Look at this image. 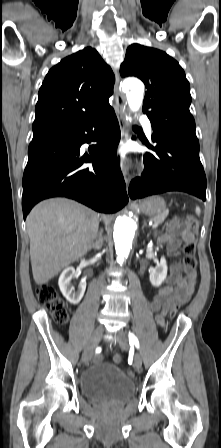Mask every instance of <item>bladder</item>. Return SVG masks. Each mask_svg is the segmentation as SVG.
Returning <instances> with one entry per match:
<instances>
[{"label": "bladder", "mask_w": 221, "mask_h": 448, "mask_svg": "<svg viewBox=\"0 0 221 448\" xmlns=\"http://www.w3.org/2000/svg\"><path fill=\"white\" fill-rule=\"evenodd\" d=\"M79 386L86 399L97 403L122 404L135 393L134 381L121 368L106 362L86 370Z\"/></svg>", "instance_id": "obj_1"}]
</instances>
